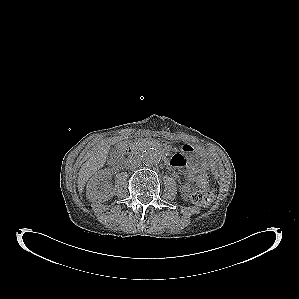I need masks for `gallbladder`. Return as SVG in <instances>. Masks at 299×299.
I'll use <instances>...</instances> for the list:
<instances>
[{
    "mask_svg": "<svg viewBox=\"0 0 299 299\" xmlns=\"http://www.w3.org/2000/svg\"><path fill=\"white\" fill-rule=\"evenodd\" d=\"M122 149H123V146L117 145L114 148H112L111 151H112V153H117V152H120Z\"/></svg>",
    "mask_w": 299,
    "mask_h": 299,
    "instance_id": "obj_1",
    "label": "gallbladder"
}]
</instances>
